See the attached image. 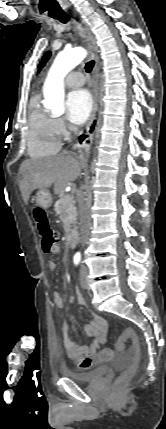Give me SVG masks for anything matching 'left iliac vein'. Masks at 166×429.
Instances as JSON below:
<instances>
[{
	"label": "left iliac vein",
	"instance_id": "obj_1",
	"mask_svg": "<svg viewBox=\"0 0 166 429\" xmlns=\"http://www.w3.org/2000/svg\"><path fill=\"white\" fill-rule=\"evenodd\" d=\"M80 285L82 288L87 289L88 288V282H87V276H86V269L82 266L80 269Z\"/></svg>",
	"mask_w": 166,
	"mask_h": 429
}]
</instances>
